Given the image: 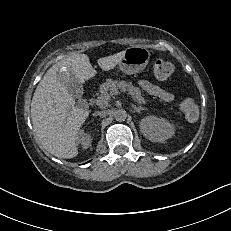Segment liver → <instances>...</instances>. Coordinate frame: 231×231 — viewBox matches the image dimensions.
Segmentation results:
<instances>
[{"mask_svg":"<svg viewBox=\"0 0 231 231\" xmlns=\"http://www.w3.org/2000/svg\"><path fill=\"white\" fill-rule=\"evenodd\" d=\"M125 51L97 60L104 71L113 69ZM67 68L80 83L96 75L86 54H73L50 67L39 82L31 102L34 131L42 146L52 155L73 158L78 154V134L89 115V110L75 107V100L57 77Z\"/></svg>","mask_w":231,"mask_h":231,"instance_id":"6515ba94","label":"liver"}]
</instances>
